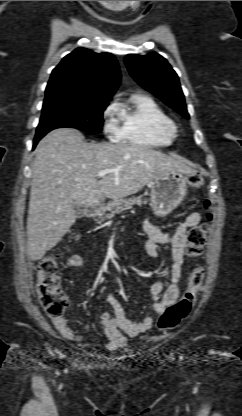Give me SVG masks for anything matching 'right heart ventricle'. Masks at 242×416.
I'll return each mask as SVG.
<instances>
[{
    "label": "right heart ventricle",
    "mask_w": 242,
    "mask_h": 416,
    "mask_svg": "<svg viewBox=\"0 0 242 416\" xmlns=\"http://www.w3.org/2000/svg\"><path fill=\"white\" fill-rule=\"evenodd\" d=\"M120 126L117 141L146 147H164L174 140L164 110L150 96L135 93L125 102L116 104Z\"/></svg>",
    "instance_id": "1"
}]
</instances>
